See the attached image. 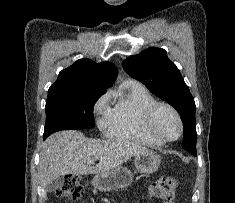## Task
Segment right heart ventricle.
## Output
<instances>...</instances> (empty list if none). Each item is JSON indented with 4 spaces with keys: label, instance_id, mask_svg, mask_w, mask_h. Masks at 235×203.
Returning a JSON list of instances; mask_svg holds the SVG:
<instances>
[{
    "label": "right heart ventricle",
    "instance_id": "e07e8e85",
    "mask_svg": "<svg viewBox=\"0 0 235 203\" xmlns=\"http://www.w3.org/2000/svg\"><path fill=\"white\" fill-rule=\"evenodd\" d=\"M109 96L114 99V104L104 122L109 136L151 147L161 145L151 138L143 127L146 109L157 102L143 85L129 81L111 92Z\"/></svg>",
    "mask_w": 235,
    "mask_h": 203
}]
</instances>
